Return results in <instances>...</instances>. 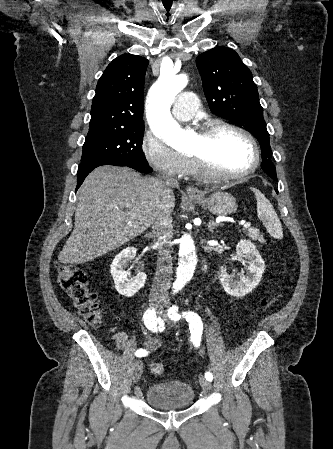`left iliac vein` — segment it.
<instances>
[{
    "label": "left iliac vein",
    "mask_w": 333,
    "mask_h": 449,
    "mask_svg": "<svg viewBox=\"0 0 333 449\" xmlns=\"http://www.w3.org/2000/svg\"><path fill=\"white\" fill-rule=\"evenodd\" d=\"M161 313L163 317L166 318L165 310H162ZM199 383L205 391H209L212 388L211 383L203 375L199 376Z\"/></svg>",
    "instance_id": "4c4485c4"
}]
</instances>
